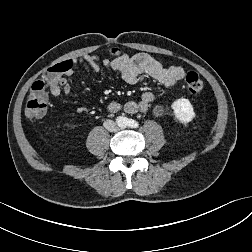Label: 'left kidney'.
<instances>
[{"instance_id":"5707ae66","label":"left kidney","mask_w":252,"mask_h":252,"mask_svg":"<svg viewBox=\"0 0 252 252\" xmlns=\"http://www.w3.org/2000/svg\"><path fill=\"white\" fill-rule=\"evenodd\" d=\"M171 108L174 111L175 117L181 123H189L196 116L190 101L185 98H180L174 101Z\"/></svg>"}]
</instances>
